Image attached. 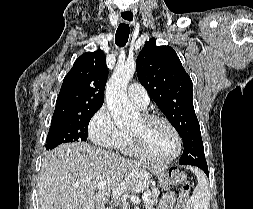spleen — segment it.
<instances>
[{
	"label": "spleen",
	"instance_id": "1",
	"mask_svg": "<svg viewBox=\"0 0 253 209\" xmlns=\"http://www.w3.org/2000/svg\"><path fill=\"white\" fill-rule=\"evenodd\" d=\"M197 176L198 184L195 187L192 196L187 202V209H208L209 207V189L208 181L202 171L192 168Z\"/></svg>",
	"mask_w": 253,
	"mask_h": 209
}]
</instances>
